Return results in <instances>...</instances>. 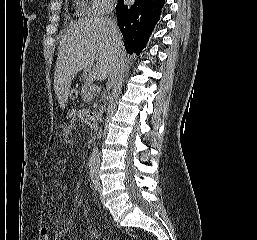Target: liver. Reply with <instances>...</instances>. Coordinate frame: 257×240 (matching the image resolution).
Listing matches in <instances>:
<instances>
[{"label": "liver", "mask_w": 257, "mask_h": 240, "mask_svg": "<svg viewBox=\"0 0 257 240\" xmlns=\"http://www.w3.org/2000/svg\"><path fill=\"white\" fill-rule=\"evenodd\" d=\"M107 18L83 19L69 27L61 37L54 72V89L61 107L75 75L83 70L97 80L106 79L113 69L116 48L107 31ZM119 31V30H118ZM119 52L122 55L121 33Z\"/></svg>", "instance_id": "liver-1"}]
</instances>
